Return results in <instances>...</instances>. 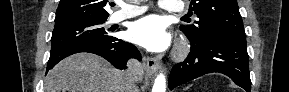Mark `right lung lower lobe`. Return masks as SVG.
<instances>
[{
  "label": "right lung lower lobe",
  "mask_w": 289,
  "mask_h": 92,
  "mask_svg": "<svg viewBox=\"0 0 289 92\" xmlns=\"http://www.w3.org/2000/svg\"><path fill=\"white\" fill-rule=\"evenodd\" d=\"M79 52L102 56L118 69H125L129 58L141 60L140 53L134 45L117 38L111 41L83 42L51 52L46 73L65 57Z\"/></svg>",
  "instance_id": "right-lung-lower-lobe-1"
}]
</instances>
